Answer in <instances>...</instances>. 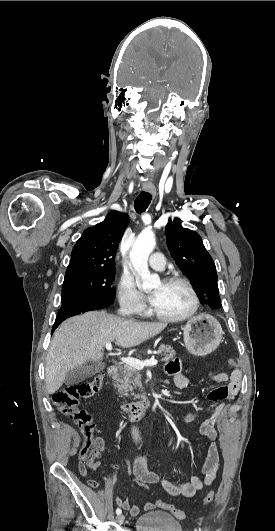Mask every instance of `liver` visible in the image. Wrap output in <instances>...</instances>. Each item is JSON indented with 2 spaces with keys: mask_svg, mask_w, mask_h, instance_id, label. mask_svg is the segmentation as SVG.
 Listing matches in <instances>:
<instances>
[{
  "mask_svg": "<svg viewBox=\"0 0 275 531\" xmlns=\"http://www.w3.org/2000/svg\"><path fill=\"white\" fill-rule=\"evenodd\" d=\"M167 323H135L106 311H89L71 317L55 331L45 365L47 393L53 395L64 383L66 373L84 363H99L106 343L128 349L159 335Z\"/></svg>",
  "mask_w": 275,
  "mask_h": 531,
  "instance_id": "6515ba94",
  "label": "liver"
}]
</instances>
